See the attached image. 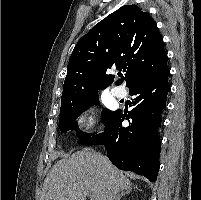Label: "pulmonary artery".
Masks as SVG:
<instances>
[{
  "mask_svg": "<svg viewBox=\"0 0 201 200\" xmlns=\"http://www.w3.org/2000/svg\"><path fill=\"white\" fill-rule=\"evenodd\" d=\"M111 93L114 97H116L118 99H122L126 96V90L122 87H114L111 90Z\"/></svg>",
  "mask_w": 201,
  "mask_h": 200,
  "instance_id": "pulmonary-artery-1",
  "label": "pulmonary artery"
}]
</instances>
